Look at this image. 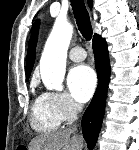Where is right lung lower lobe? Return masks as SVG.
Listing matches in <instances>:
<instances>
[{"instance_id":"1","label":"right lung lower lobe","mask_w":139,"mask_h":150,"mask_svg":"<svg viewBox=\"0 0 139 150\" xmlns=\"http://www.w3.org/2000/svg\"><path fill=\"white\" fill-rule=\"evenodd\" d=\"M98 86L96 92L82 117V132L88 148L96 143L105 112V100L110 80V63L106 41L95 34L93 38Z\"/></svg>"}]
</instances>
